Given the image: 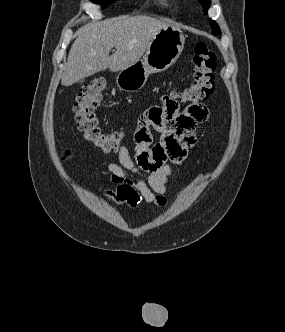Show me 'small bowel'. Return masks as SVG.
<instances>
[{"label":"small bowel","instance_id":"1","mask_svg":"<svg viewBox=\"0 0 285 332\" xmlns=\"http://www.w3.org/2000/svg\"><path fill=\"white\" fill-rule=\"evenodd\" d=\"M209 111L203 104L184 109L178 96H162L161 106H147L135 129L117 151L118 162H109L107 168L111 182L116 185L107 196L118 203L136 207L145 202L163 206L167 185L173 173L168 159L181 161L196 143L197 125L207 121ZM153 133H162L160 141L153 143ZM136 145L135 156L128 144ZM128 173L140 175L132 179Z\"/></svg>","mask_w":285,"mask_h":332}]
</instances>
